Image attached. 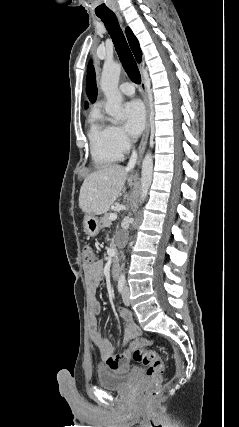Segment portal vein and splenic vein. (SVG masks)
Here are the masks:
<instances>
[{"mask_svg":"<svg viewBox=\"0 0 239 427\" xmlns=\"http://www.w3.org/2000/svg\"><path fill=\"white\" fill-rule=\"evenodd\" d=\"M110 220L111 221H114V220H116L117 219V214H115V213H112V214H110Z\"/></svg>","mask_w":239,"mask_h":427,"instance_id":"18ae733b","label":"portal vein and splenic vein"}]
</instances>
